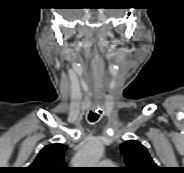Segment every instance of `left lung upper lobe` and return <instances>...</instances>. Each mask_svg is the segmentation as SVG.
I'll use <instances>...</instances> for the list:
<instances>
[{"label":"left lung upper lobe","mask_w":184,"mask_h":173,"mask_svg":"<svg viewBox=\"0 0 184 173\" xmlns=\"http://www.w3.org/2000/svg\"><path fill=\"white\" fill-rule=\"evenodd\" d=\"M120 148L127 165L123 168L124 173H158L159 168L146 148L138 141H126Z\"/></svg>","instance_id":"5c2ea615"}]
</instances>
